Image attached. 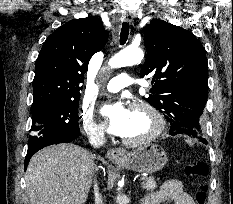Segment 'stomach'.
Segmentation results:
<instances>
[{
  "mask_svg": "<svg viewBox=\"0 0 233 204\" xmlns=\"http://www.w3.org/2000/svg\"><path fill=\"white\" fill-rule=\"evenodd\" d=\"M167 160L166 152L162 147L149 144L126 154L123 159L115 163L132 171L150 174L160 171Z\"/></svg>",
  "mask_w": 233,
  "mask_h": 204,
  "instance_id": "0dacf381",
  "label": "stomach"
}]
</instances>
